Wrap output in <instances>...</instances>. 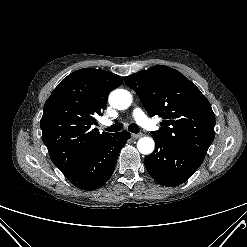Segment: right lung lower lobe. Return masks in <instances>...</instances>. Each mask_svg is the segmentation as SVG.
<instances>
[{"mask_svg": "<svg viewBox=\"0 0 247 247\" xmlns=\"http://www.w3.org/2000/svg\"><path fill=\"white\" fill-rule=\"evenodd\" d=\"M128 138L129 132L112 134L91 148L63 174L79 189L91 191L100 188L110 179L119 152Z\"/></svg>", "mask_w": 247, "mask_h": 247, "instance_id": "1", "label": "right lung lower lobe"}]
</instances>
